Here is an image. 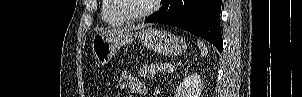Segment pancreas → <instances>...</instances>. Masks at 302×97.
Returning <instances> with one entry per match:
<instances>
[{"label": "pancreas", "mask_w": 302, "mask_h": 97, "mask_svg": "<svg viewBox=\"0 0 302 97\" xmlns=\"http://www.w3.org/2000/svg\"><path fill=\"white\" fill-rule=\"evenodd\" d=\"M170 64L168 62L164 63H151L147 65H143L138 69V75L139 77H144V78H150L154 77L156 74H162L167 71L169 68Z\"/></svg>", "instance_id": "cf45deb5"}]
</instances>
